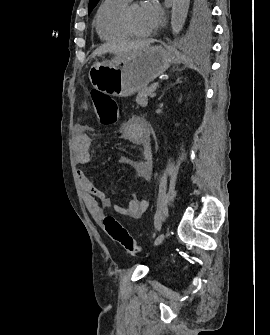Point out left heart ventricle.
<instances>
[{
  "mask_svg": "<svg viewBox=\"0 0 270 335\" xmlns=\"http://www.w3.org/2000/svg\"><path fill=\"white\" fill-rule=\"evenodd\" d=\"M128 23L131 30L136 34L144 33V25L141 15V8L137 5L132 6L128 14Z\"/></svg>",
  "mask_w": 270,
  "mask_h": 335,
  "instance_id": "left-heart-ventricle-1",
  "label": "left heart ventricle"
}]
</instances>
